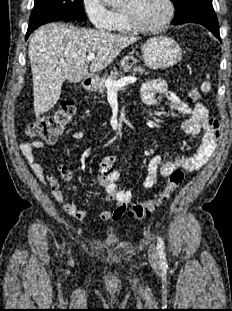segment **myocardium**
<instances>
[{"label": "myocardium", "instance_id": "myocardium-1", "mask_svg": "<svg viewBox=\"0 0 232 311\" xmlns=\"http://www.w3.org/2000/svg\"><path fill=\"white\" fill-rule=\"evenodd\" d=\"M164 2L167 8L164 18L158 24L149 27L138 24L135 21L132 13L129 10L123 9V15L129 28L135 32L142 34L156 33L163 30L171 22L175 12L174 3L172 0H164Z\"/></svg>", "mask_w": 232, "mask_h": 311}]
</instances>
